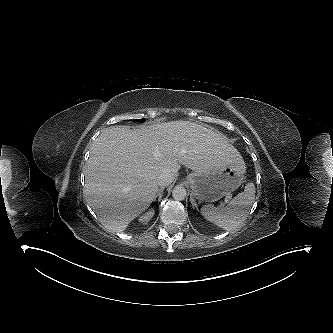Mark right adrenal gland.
Returning a JSON list of instances; mask_svg holds the SVG:
<instances>
[{
  "label": "right adrenal gland",
  "instance_id": "2a0ac1e0",
  "mask_svg": "<svg viewBox=\"0 0 333 333\" xmlns=\"http://www.w3.org/2000/svg\"><path fill=\"white\" fill-rule=\"evenodd\" d=\"M163 191H164V188H161V189L158 190V192H157V194H156V196L154 198V201L156 200L157 197H158L159 201L161 200V198L163 196Z\"/></svg>",
  "mask_w": 333,
  "mask_h": 333
}]
</instances>
